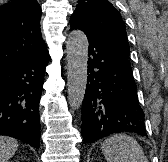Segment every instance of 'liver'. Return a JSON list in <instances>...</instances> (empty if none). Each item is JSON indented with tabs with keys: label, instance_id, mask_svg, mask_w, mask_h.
I'll return each mask as SVG.
<instances>
[{
	"label": "liver",
	"instance_id": "liver-1",
	"mask_svg": "<svg viewBox=\"0 0 168 162\" xmlns=\"http://www.w3.org/2000/svg\"><path fill=\"white\" fill-rule=\"evenodd\" d=\"M17 148V140L7 136H0V162H7L15 154Z\"/></svg>",
	"mask_w": 168,
	"mask_h": 162
}]
</instances>
